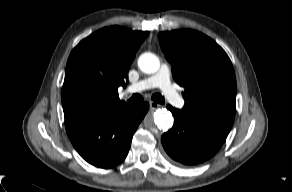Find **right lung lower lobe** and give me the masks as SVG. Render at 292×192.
Listing matches in <instances>:
<instances>
[{"mask_svg": "<svg viewBox=\"0 0 292 192\" xmlns=\"http://www.w3.org/2000/svg\"><path fill=\"white\" fill-rule=\"evenodd\" d=\"M148 103L125 105L107 113L65 116L68 137L90 164L110 168L128 154L134 132L146 115Z\"/></svg>", "mask_w": 292, "mask_h": 192, "instance_id": "right-lung-lower-lobe-1", "label": "right lung lower lobe"}]
</instances>
